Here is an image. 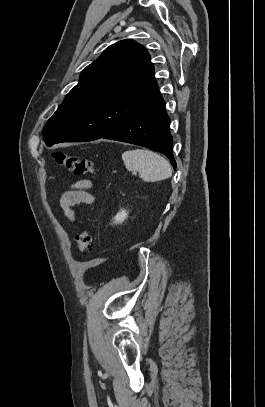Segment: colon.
<instances>
[{
    "label": "colon",
    "mask_w": 265,
    "mask_h": 407,
    "mask_svg": "<svg viewBox=\"0 0 265 407\" xmlns=\"http://www.w3.org/2000/svg\"><path fill=\"white\" fill-rule=\"evenodd\" d=\"M53 158L58 165L72 171L75 175L95 174L98 172L94 162L87 158L61 151L54 152ZM76 241L79 253H84L91 248L92 236L88 226H85L77 235Z\"/></svg>",
    "instance_id": "obj_1"
}]
</instances>
